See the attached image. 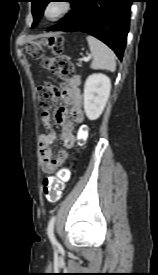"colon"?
Segmentation results:
<instances>
[{
    "label": "colon",
    "instance_id": "5ec220e1",
    "mask_svg": "<svg viewBox=\"0 0 158 275\" xmlns=\"http://www.w3.org/2000/svg\"><path fill=\"white\" fill-rule=\"evenodd\" d=\"M25 48L32 58L41 59L43 67L53 75L66 78L73 72L72 62L68 58L60 56L63 49L61 37L48 36L35 39L28 42ZM45 51H50L56 56L44 57ZM61 90L57 86L45 85L40 87V106L45 111L51 108L61 94ZM69 178L70 172L66 169L60 170L55 175L46 176L42 181L44 197L50 202L58 201Z\"/></svg>",
    "mask_w": 158,
    "mask_h": 275
}]
</instances>
